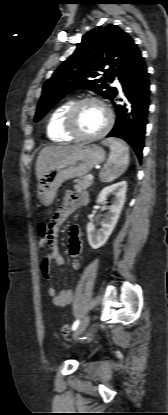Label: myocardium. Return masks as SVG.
<instances>
[{"label":"myocardium","mask_w":168,"mask_h":415,"mask_svg":"<svg viewBox=\"0 0 168 415\" xmlns=\"http://www.w3.org/2000/svg\"><path fill=\"white\" fill-rule=\"evenodd\" d=\"M87 103H96L100 105L106 112L107 120L106 124L101 131L93 135H83L81 134L75 124L76 114L81 106ZM64 130L68 135H70L73 139L80 140V141H94L104 137L111 129L113 125V113L109 106L103 102L102 100L96 97H86L79 99L71 104L68 110L65 113L64 117Z\"/></svg>","instance_id":"f54148a6"}]
</instances>
